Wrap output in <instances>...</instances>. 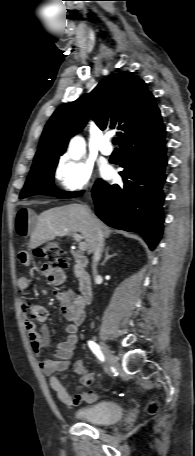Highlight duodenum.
<instances>
[{
    "label": "duodenum",
    "mask_w": 195,
    "mask_h": 456,
    "mask_svg": "<svg viewBox=\"0 0 195 456\" xmlns=\"http://www.w3.org/2000/svg\"><path fill=\"white\" fill-rule=\"evenodd\" d=\"M73 259L80 271H82L87 265V258L80 253L74 252ZM79 289L83 302L85 304L89 303L92 298V283L89 276L83 272L81 273L79 280Z\"/></svg>",
    "instance_id": "410a0bca"
}]
</instances>
